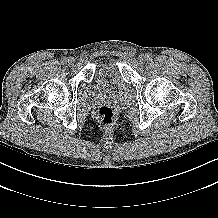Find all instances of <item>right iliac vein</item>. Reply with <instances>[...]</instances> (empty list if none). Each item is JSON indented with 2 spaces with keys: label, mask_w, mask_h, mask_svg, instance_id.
Wrapping results in <instances>:
<instances>
[{
  "label": "right iliac vein",
  "mask_w": 218,
  "mask_h": 218,
  "mask_svg": "<svg viewBox=\"0 0 218 218\" xmlns=\"http://www.w3.org/2000/svg\"><path fill=\"white\" fill-rule=\"evenodd\" d=\"M74 61H75V60H74L73 57H69V58H67V63H68L69 65L73 64Z\"/></svg>",
  "instance_id": "63e3f726"
}]
</instances>
